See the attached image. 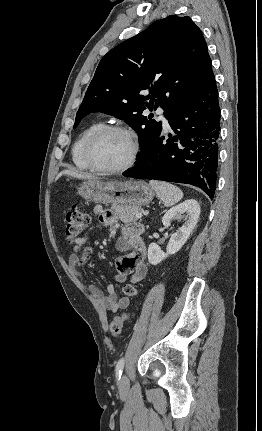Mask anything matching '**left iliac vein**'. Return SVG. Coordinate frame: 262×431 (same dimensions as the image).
<instances>
[{
    "instance_id": "1",
    "label": "left iliac vein",
    "mask_w": 262,
    "mask_h": 431,
    "mask_svg": "<svg viewBox=\"0 0 262 431\" xmlns=\"http://www.w3.org/2000/svg\"><path fill=\"white\" fill-rule=\"evenodd\" d=\"M119 386L121 389H127L128 387V379L127 376L125 374H122V376L119 379Z\"/></svg>"
}]
</instances>
